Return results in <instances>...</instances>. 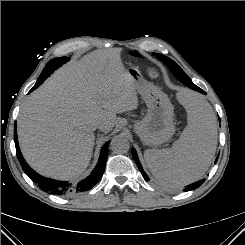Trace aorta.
<instances>
[{"label":"aorta","mask_w":245,"mask_h":245,"mask_svg":"<svg viewBox=\"0 0 245 245\" xmlns=\"http://www.w3.org/2000/svg\"><path fill=\"white\" fill-rule=\"evenodd\" d=\"M110 148L114 153L122 154L129 150L130 143L127 138L117 135L112 139Z\"/></svg>","instance_id":"1"}]
</instances>
